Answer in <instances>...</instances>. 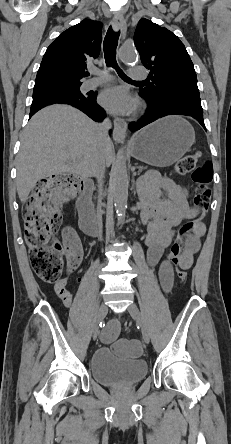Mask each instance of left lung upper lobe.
Returning <instances> with one entry per match:
<instances>
[{
    "instance_id": "obj_1",
    "label": "left lung upper lobe",
    "mask_w": 231,
    "mask_h": 444,
    "mask_svg": "<svg viewBox=\"0 0 231 444\" xmlns=\"http://www.w3.org/2000/svg\"><path fill=\"white\" fill-rule=\"evenodd\" d=\"M134 43L152 82L140 93L156 106L179 102L201 106L193 63L184 44L171 31L148 19L139 21Z\"/></svg>"
}]
</instances>
